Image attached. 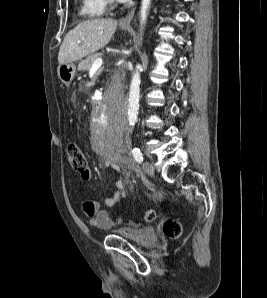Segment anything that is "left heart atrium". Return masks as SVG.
Instances as JSON below:
<instances>
[{"mask_svg":"<svg viewBox=\"0 0 267 298\" xmlns=\"http://www.w3.org/2000/svg\"><path fill=\"white\" fill-rule=\"evenodd\" d=\"M118 1H121V2H126V1H128V0H118Z\"/></svg>","mask_w":267,"mask_h":298,"instance_id":"1","label":"left heart atrium"}]
</instances>
